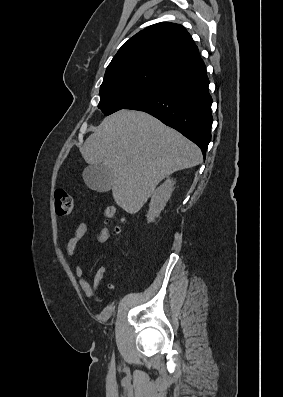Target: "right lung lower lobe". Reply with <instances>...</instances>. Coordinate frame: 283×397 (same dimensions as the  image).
Instances as JSON below:
<instances>
[{"instance_id":"1","label":"right lung lower lobe","mask_w":283,"mask_h":397,"mask_svg":"<svg viewBox=\"0 0 283 397\" xmlns=\"http://www.w3.org/2000/svg\"><path fill=\"white\" fill-rule=\"evenodd\" d=\"M206 68L179 76L124 109L144 111L196 143L206 157L213 99Z\"/></svg>"}]
</instances>
